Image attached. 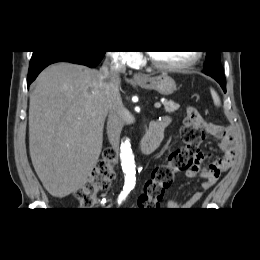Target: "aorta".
I'll use <instances>...</instances> for the list:
<instances>
[{"instance_id":"aorta-1","label":"aorta","mask_w":260,"mask_h":260,"mask_svg":"<svg viewBox=\"0 0 260 260\" xmlns=\"http://www.w3.org/2000/svg\"><path fill=\"white\" fill-rule=\"evenodd\" d=\"M120 160L122 170L125 174V183L129 185L135 184L136 181V170L135 161L132 149L128 140L122 142L120 147Z\"/></svg>"}]
</instances>
